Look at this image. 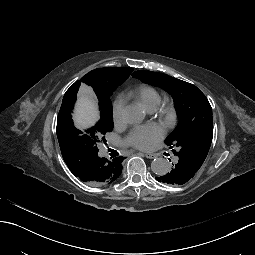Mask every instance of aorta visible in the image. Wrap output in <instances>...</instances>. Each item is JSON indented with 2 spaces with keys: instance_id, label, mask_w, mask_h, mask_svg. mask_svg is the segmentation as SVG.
I'll list each match as a JSON object with an SVG mask.
<instances>
[{
  "instance_id": "1",
  "label": "aorta",
  "mask_w": 255,
  "mask_h": 255,
  "mask_svg": "<svg viewBox=\"0 0 255 255\" xmlns=\"http://www.w3.org/2000/svg\"><path fill=\"white\" fill-rule=\"evenodd\" d=\"M124 119L130 124L140 123L144 117V111L136 105H128L123 110ZM151 169L156 175H164L170 170L169 163L162 157L155 158L151 163Z\"/></svg>"
}]
</instances>
